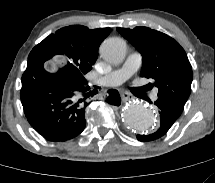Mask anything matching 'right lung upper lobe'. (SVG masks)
I'll list each match as a JSON object with an SVG mask.
<instances>
[{
    "mask_svg": "<svg viewBox=\"0 0 215 183\" xmlns=\"http://www.w3.org/2000/svg\"><path fill=\"white\" fill-rule=\"evenodd\" d=\"M110 32V28L91 30L85 26L72 25L51 34L34 48L43 58V64L55 55H63L62 49L65 47L83 51L87 57L96 61L98 48Z\"/></svg>",
    "mask_w": 215,
    "mask_h": 183,
    "instance_id": "obj_1",
    "label": "right lung upper lobe"
}]
</instances>
